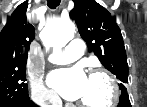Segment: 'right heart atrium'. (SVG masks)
<instances>
[{
	"label": "right heart atrium",
	"mask_w": 147,
	"mask_h": 107,
	"mask_svg": "<svg viewBox=\"0 0 147 107\" xmlns=\"http://www.w3.org/2000/svg\"><path fill=\"white\" fill-rule=\"evenodd\" d=\"M30 93L33 101L39 105L54 106L58 103L56 94L44 85L39 74L31 76Z\"/></svg>",
	"instance_id": "d8ad5b80"
}]
</instances>
